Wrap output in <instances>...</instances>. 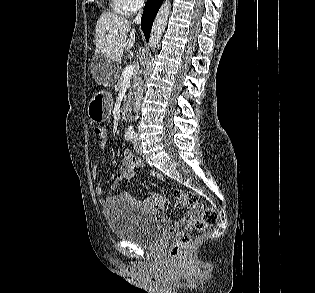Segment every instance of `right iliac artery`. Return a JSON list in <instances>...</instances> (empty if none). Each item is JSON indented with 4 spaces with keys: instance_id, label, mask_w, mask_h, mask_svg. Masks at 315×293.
Segmentation results:
<instances>
[{
    "instance_id": "obj_1",
    "label": "right iliac artery",
    "mask_w": 315,
    "mask_h": 293,
    "mask_svg": "<svg viewBox=\"0 0 315 293\" xmlns=\"http://www.w3.org/2000/svg\"><path fill=\"white\" fill-rule=\"evenodd\" d=\"M134 138H135V134H134L133 132H127V133L125 134V139H126L127 141H132Z\"/></svg>"
}]
</instances>
